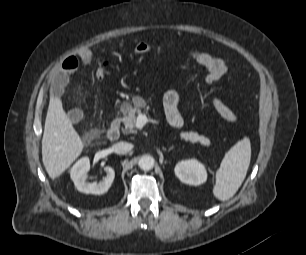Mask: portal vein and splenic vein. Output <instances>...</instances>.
<instances>
[{"label":"portal vein and splenic vein","mask_w":306,"mask_h":255,"mask_svg":"<svg viewBox=\"0 0 306 255\" xmlns=\"http://www.w3.org/2000/svg\"><path fill=\"white\" fill-rule=\"evenodd\" d=\"M147 122V117L143 114H139L138 117L136 118V123L135 126L137 128H142ZM203 141H206L204 137L202 138Z\"/></svg>","instance_id":"18ae733b"}]
</instances>
